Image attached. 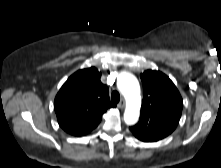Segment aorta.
Returning a JSON list of instances; mask_svg holds the SVG:
<instances>
[{"mask_svg":"<svg viewBox=\"0 0 221 168\" xmlns=\"http://www.w3.org/2000/svg\"><path fill=\"white\" fill-rule=\"evenodd\" d=\"M117 86L126 99L124 121L127 125H134L140 115L141 96L139 82L133 74L123 72L118 77Z\"/></svg>","mask_w":221,"mask_h":168,"instance_id":"1","label":"aorta"}]
</instances>
